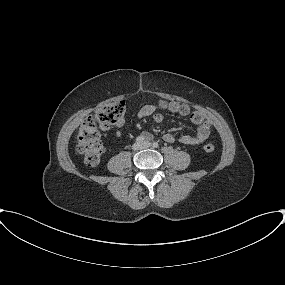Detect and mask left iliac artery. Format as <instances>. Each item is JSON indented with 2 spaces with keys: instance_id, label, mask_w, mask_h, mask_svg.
<instances>
[{
  "instance_id": "left-iliac-artery-1",
  "label": "left iliac artery",
  "mask_w": 285,
  "mask_h": 285,
  "mask_svg": "<svg viewBox=\"0 0 285 285\" xmlns=\"http://www.w3.org/2000/svg\"><path fill=\"white\" fill-rule=\"evenodd\" d=\"M158 146H159V145H158L157 142H154V143H153V147L157 148Z\"/></svg>"
}]
</instances>
